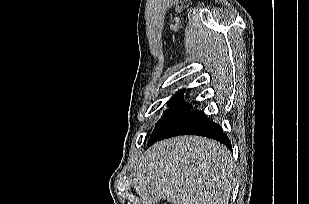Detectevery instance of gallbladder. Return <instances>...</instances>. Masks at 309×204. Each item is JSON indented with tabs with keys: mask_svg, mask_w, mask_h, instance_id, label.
<instances>
[{
	"mask_svg": "<svg viewBox=\"0 0 309 204\" xmlns=\"http://www.w3.org/2000/svg\"><path fill=\"white\" fill-rule=\"evenodd\" d=\"M151 199H152L153 201H158V200H159V197L156 196V195L154 194V192H152V193H151Z\"/></svg>",
	"mask_w": 309,
	"mask_h": 204,
	"instance_id": "bac80fb5",
	"label": "gallbladder"
}]
</instances>
